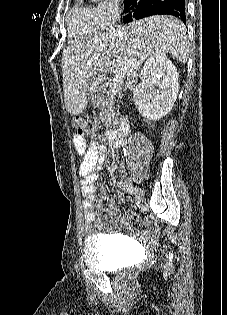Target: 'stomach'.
Masks as SVG:
<instances>
[{
  "label": "stomach",
  "instance_id": "obj_1",
  "mask_svg": "<svg viewBox=\"0 0 227 315\" xmlns=\"http://www.w3.org/2000/svg\"><path fill=\"white\" fill-rule=\"evenodd\" d=\"M86 85H89V82H86ZM98 87L96 85L88 86V94L90 95L91 99L95 101Z\"/></svg>",
  "mask_w": 227,
  "mask_h": 315
}]
</instances>
